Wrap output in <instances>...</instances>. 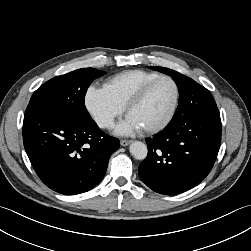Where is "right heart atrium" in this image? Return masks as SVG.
<instances>
[{"instance_id": "1", "label": "right heart atrium", "mask_w": 251, "mask_h": 251, "mask_svg": "<svg viewBox=\"0 0 251 251\" xmlns=\"http://www.w3.org/2000/svg\"><path fill=\"white\" fill-rule=\"evenodd\" d=\"M84 102L88 113L102 129L111 128L116 118L124 112V107L104 87L89 86L85 93Z\"/></svg>"}]
</instances>
